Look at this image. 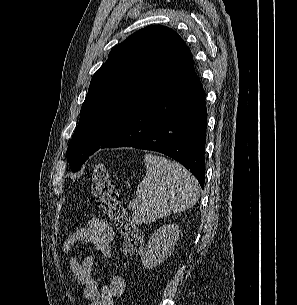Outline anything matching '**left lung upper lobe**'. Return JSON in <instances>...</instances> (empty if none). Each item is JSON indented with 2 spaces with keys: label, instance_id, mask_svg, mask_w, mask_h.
Listing matches in <instances>:
<instances>
[{
  "label": "left lung upper lobe",
  "instance_id": "obj_1",
  "mask_svg": "<svg viewBox=\"0 0 297 305\" xmlns=\"http://www.w3.org/2000/svg\"><path fill=\"white\" fill-rule=\"evenodd\" d=\"M193 71L190 49L175 31L162 25L147 26L115 47L92 77L66 152L71 170L81 169L148 89Z\"/></svg>",
  "mask_w": 297,
  "mask_h": 305
}]
</instances>
